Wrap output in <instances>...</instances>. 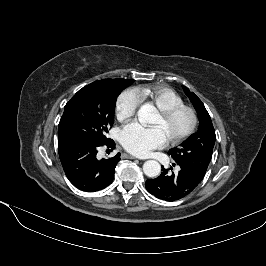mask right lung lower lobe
I'll return each instance as SVG.
<instances>
[{
	"label": "right lung lower lobe",
	"mask_w": 266,
	"mask_h": 266,
	"mask_svg": "<svg viewBox=\"0 0 266 266\" xmlns=\"http://www.w3.org/2000/svg\"><path fill=\"white\" fill-rule=\"evenodd\" d=\"M103 145L109 148L115 147L111 139L104 143L86 141L58 143L59 157L65 174L78 189L95 192L112 183L120 153L109 159L98 160L97 149Z\"/></svg>",
	"instance_id": "1"
}]
</instances>
